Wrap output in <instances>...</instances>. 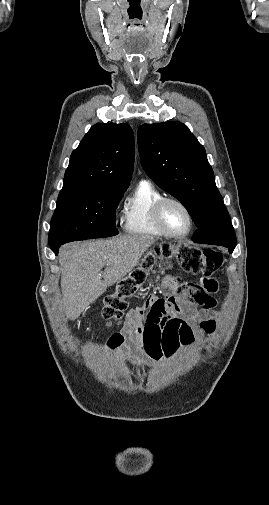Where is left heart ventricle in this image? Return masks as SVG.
Listing matches in <instances>:
<instances>
[{"label":"left heart ventricle","mask_w":269,"mask_h":505,"mask_svg":"<svg viewBox=\"0 0 269 505\" xmlns=\"http://www.w3.org/2000/svg\"><path fill=\"white\" fill-rule=\"evenodd\" d=\"M162 219L167 229L174 233H183L189 226L185 210L176 203L170 202L164 206Z\"/></svg>","instance_id":"left-heart-ventricle-1"}]
</instances>
